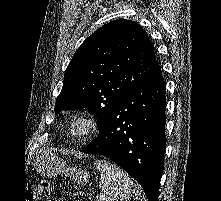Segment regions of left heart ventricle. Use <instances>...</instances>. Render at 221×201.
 <instances>
[{"label": "left heart ventricle", "instance_id": "1", "mask_svg": "<svg viewBox=\"0 0 221 201\" xmlns=\"http://www.w3.org/2000/svg\"><path fill=\"white\" fill-rule=\"evenodd\" d=\"M76 131L80 132L81 131V127L80 126L76 127Z\"/></svg>", "mask_w": 221, "mask_h": 201}]
</instances>
